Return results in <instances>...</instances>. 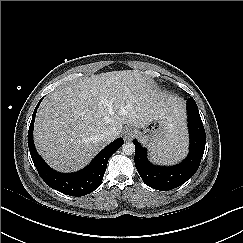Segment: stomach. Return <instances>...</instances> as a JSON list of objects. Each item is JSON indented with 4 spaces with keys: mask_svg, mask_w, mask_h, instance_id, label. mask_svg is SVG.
<instances>
[{
    "mask_svg": "<svg viewBox=\"0 0 243 243\" xmlns=\"http://www.w3.org/2000/svg\"><path fill=\"white\" fill-rule=\"evenodd\" d=\"M169 136L170 131L166 118L153 119L140 133L141 140L147 143L155 154L160 144L166 141Z\"/></svg>",
    "mask_w": 243,
    "mask_h": 243,
    "instance_id": "obj_1",
    "label": "stomach"
}]
</instances>
